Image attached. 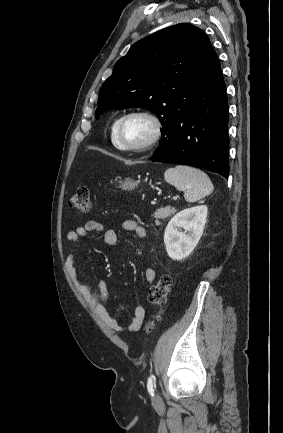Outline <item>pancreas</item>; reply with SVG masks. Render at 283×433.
I'll return each mask as SVG.
<instances>
[{
  "label": "pancreas",
  "instance_id": "pancreas-1",
  "mask_svg": "<svg viewBox=\"0 0 283 433\" xmlns=\"http://www.w3.org/2000/svg\"><path fill=\"white\" fill-rule=\"evenodd\" d=\"M174 212H176V208H173V206H165V208H157L153 217H155L156 221H158V219H167V217H170V214H174Z\"/></svg>",
  "mask_w": 283,
  "mask_h": 433
}]
</instances>
